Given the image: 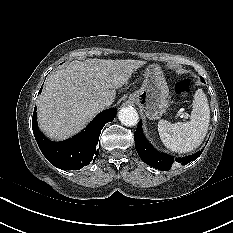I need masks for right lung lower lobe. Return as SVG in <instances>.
<instances>
[{"label": "right lung lower lobe", "mask_w": 233, "mask_h": 233, "mask_svg": "<svg viewBox=\"0 0 233 233\" xmlns=\"http://www.w3.org/2000/svg\"><path fill=\"white\" fill-rule=\"evenodd\" d=\"M115 115V108L102 111L85 130L73 138L63 142H51L45 138L37 126L35 108L32 129L41 152L52 165L63 170H79L90 162H95L99 153L96 145L101 130L106 123L114 119Z\"/></svg>", "instance_id": "98d812e1"}]
</instances>
